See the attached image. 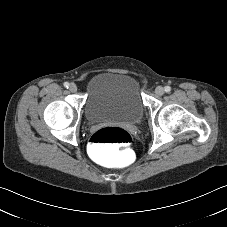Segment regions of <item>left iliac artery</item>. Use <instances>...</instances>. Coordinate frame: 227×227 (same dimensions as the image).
I'll return each instance as SVG.
<instances>
[{"instance_id":"left-iliac-artery-1","label":"left iliac artery","mask_w":227,"mask_h":227,"mask_svg":"<svg viewBox=\"0 0 227 227\" xmlns=\"http://www.w3.org/2000/svg\"><path fill=\"white\" fill-rule=\"evenodd\" d=\"M164 90H165L166 93H169L171 91V87L170 86H166L164 88Z\"/></svg>"}]
</instances>
